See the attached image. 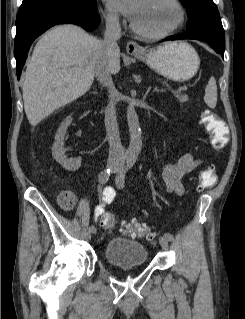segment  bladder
<instances>
[{"label": "bladder", "mask_w": 245, "mask_h": 319, "mask_svg": "<svg viewBox=\"0 0 245 319\" xmlns=\"http://www.w3.org/2000/svg\"><path fill=\"white\" fill-rule=\"evenodd\" d=\"M104 258L113 266L130 268L145 264L148 261V252L140 242L115 237L104 246Z\"/></svg>", "instance_id": "1"}]
</instances>
